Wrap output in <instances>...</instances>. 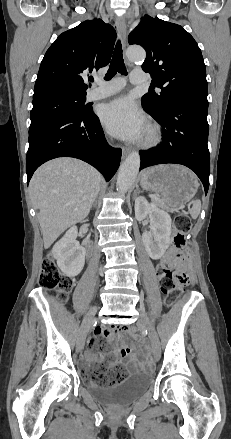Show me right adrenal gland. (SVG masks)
Segmentation results:
<instances>
[{
  "label": "right adrenal gland",
  "mask_w": 231,
  "mask_h": 439,
  "mask_svg": "<svg viewBox=\"0 0 231 439\" xmlns=\"http://www.w3.org/2000/svg\"><path fill=\"white\" fill-rule=\"evenodd\" d=\"M96 204V200L94 201V203H93V206Z\"/></svg>",
  "instance_id": "obj_1"
}]
</instances>
